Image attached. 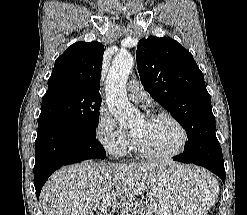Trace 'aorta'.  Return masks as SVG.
<instances>
[{
    "instance_id": "aorta-1",
    "label": "aorta",
    "mask_w": 247,
    "mask_h": 215,
    "mask_svg": "<svg viewBox=\"0 0 247 215\" xmlns=\"http://www.w3.org/2000/svg\"><path fill=\"white\" fill-rule=\"evenodd\" d=\"M133 65L131 54L119 53L114 58L105 81L109 111L123 128L132 127L140 117L139 111L130 104L126 94V83Z\"/></svg>"
}]
</instances>
